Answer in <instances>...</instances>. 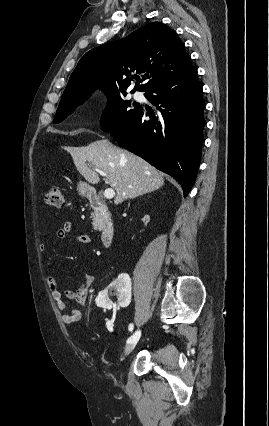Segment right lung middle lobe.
<instances>
[{
    "label": "right lung middle lobe",
    "instance_id": "dd1d6c3e",
    "mask_svg": "<svg viewBox=\"0 0 269 426\" xmlns=\"http://www.w3.org/2000/svg\"><path fill=\"white\" fill-rule=\"evenodd\" d=\"M122 94L126 95V92L107 95V107L100 121L103 131L110 132L120 127V125L138 109V107L130 109L131 103L129 101H123L121 97ZM88 98L89 96L62 98L57 109L54 123L63 121L78 105L83 104Z\"/></svg>",
    "mask_w": 269,
    "mask_h": 426
}]
</instances>
